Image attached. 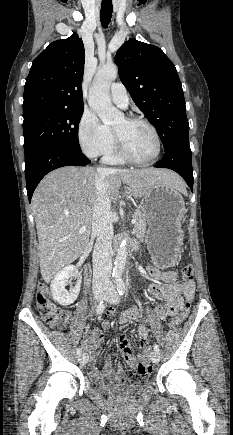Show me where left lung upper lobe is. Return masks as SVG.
I'll return each mask as SVG.
<instances>
[{"instance_id":"5c2ea615","label":"left lung upper lobe","mask_w":233,"mask_h":435,"mask_svg":"<svg viewBox=\"0 0 233 435\" xmlns=\"http://www.w3.org/2000/svg\"><path fill=\"white\" fill-rule=\"evenodd\" d=\"M119 76L137 107L156 127L165 150L189 140L182 85L157 46L129 39L116 53Z\"/></svg>"}]
</instances>
